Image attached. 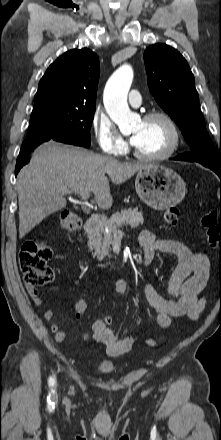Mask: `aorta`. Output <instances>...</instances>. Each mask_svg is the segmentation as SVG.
<instances>
[{
    "label": "aorta",
    "mask_w": 221,
    "mask_h": 440,
    "mask_svg": "<svg viewBox=\"0 0 221 440\" xmlns=\"http://www.w3.org/2000/svg\"><path fill=\"white\" fill-rule=\"evenodd\" d=\"M133 80L131 67L124 65L116 70L106 83L103 102L105 109L120 129L129 126L132 113L127 103V94Z\"/></svg>",
    "instance_id": "762f6f07"
}]
</instances>
